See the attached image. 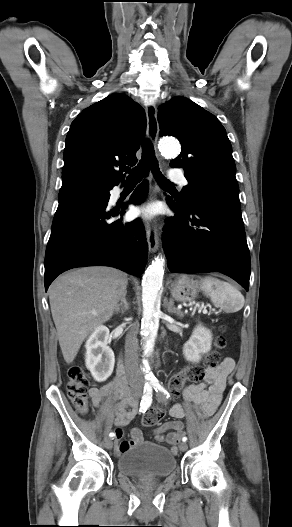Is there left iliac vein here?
<instances>
[{
  "instance_id": "1",
  "label": "left iliac vein",
  "mask_w": 292,
  "mask_h": 527,
  "mask_svg": "<svg viewBox=\"0 0 292 527\" xmlns=\"http://www.w3.org/2000/svg\"><path fill=\"white\" fill-rule=\"evenodd\" d=\"M187 448H188V446H187V443H186V442H182V443H180V445H179V449H180V451L184 452V451L187 450Z\"/></svg>"
}]
</instances>
